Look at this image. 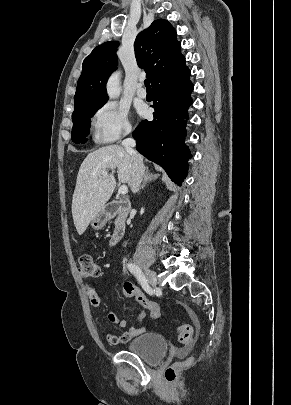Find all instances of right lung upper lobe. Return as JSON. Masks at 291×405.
<instances>
[{
  "label": "right lung upper lobe",
  "instance_id": "cb5924a9",
  "mask_svg": "<svg viewBox=\"0 0 291 405\" xmlns=\"http://www.w3.org/2000/svg\"><path fill=\"white\" fill-rule=\"evenodd\" d=\"M117 46L116 41L105 42L95 47L83 61L82 74L74 96L73 113L106 103V82L116 69ZM180 47L175 29L164 19L155 20L150 27L137 35L134 42L136 60L139 67L145 69L152 87L188 70Z\"/></svg>",
  "mask_w": 291,
  "mask_h": 405
}]
</instances>
